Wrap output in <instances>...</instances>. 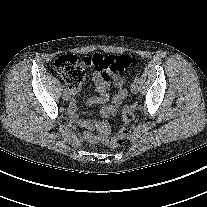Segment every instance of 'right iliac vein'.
Returning a JSON list of instances; mask_svg holds the SVG:
<instances>
[{
  "label": "right iliac vein",
  "mask_w": 207,
  "mask_h": 207,
  "mask_svg": "<svg viewBox=\"0 0 207 207\" xmlns=\"http://www.w3.org/2000/svg\"><path fill=\"white\" fill-rule=\"evenodd\" d=\"M62 98L64 101H68L70 99V94L66 90L63 91Z\"/></svg>",
  "instance_id": "63e3f726"
}]
</instances>
